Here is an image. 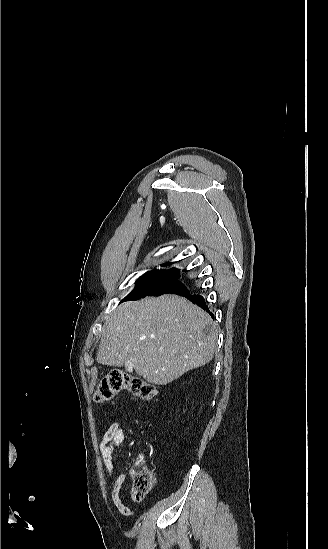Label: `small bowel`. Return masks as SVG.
Segmentation results:
<instances>
[{"label":"small bowel","instance_id":"obj_1","mask_svg":"<svg viewBox=\"0 0 328 549\" xmlns=\"http://www.w3.org/2000/svg\"><path fill=\"white\" fill-rule=\"evenodd\" d=\"M126 436L124 427L120 423H113L104 433L101 442H100V454L104 464V467L109 475L112 473L113 469V453L115 448L122 443ZM147 460L145 454H140L137 457V464H144ZM153 477V476H152ZM126 480V473H120L113 482V487L111 491V497L115 508L123 515H129L130 509L122 502L120 498V491L123 483ZM155 484V479L153 477V485Z\"/></svg>","mask_w":328,"mask_h":549}]
</instances>
